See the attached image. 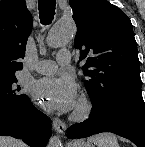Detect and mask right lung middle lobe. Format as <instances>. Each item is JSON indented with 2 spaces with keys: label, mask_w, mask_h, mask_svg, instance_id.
Wrapping results in <instances>:
<instances>
[{
  "label": "right lung middle lobe",
  "mask_w": 145,
  "mask_h": 147,
  "mask_svg": "<svg viewBox=\"0 0 145 147\" xmlns=\"http://www.w3.org/2000/svg\"><path fill=\"white\" fill-rule=\"evenodd\" d=\"M16 82L15 74L0 76V110L21 107L28 99Z\"/></svg>",
  "instance_id": "1"
}]
</instances>
